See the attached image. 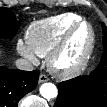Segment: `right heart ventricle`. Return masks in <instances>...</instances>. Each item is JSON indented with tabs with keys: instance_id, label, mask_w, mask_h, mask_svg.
I'll return each instance as SVG.
<instances>
[{
	"instance_id": "1",
	"label": "right heart ventricle",
	"mask_w": 107,
	"mask_h": 107,
	"mask_svg": "<svg viewBox=\"0 0 107 107\" xmlns=\"http://www.w3.org/2000/svg\"><path fill=\"white\" fill-rule=\"evenodd\" d=\"M81 17L64 13L32 23L26 31V42L41 57L48 56L65 32Z\"/></svg>"
}]
</instances>
